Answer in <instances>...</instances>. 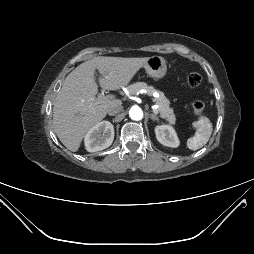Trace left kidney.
<instances>
[{"label": "left kidney", "instance_id": "left-kidney-1", "mask_svg": "<svg viewBox=\"0 0 254 254\" xmlns=\"http://www.w3.org/2000/svg\"><path fill=\"white\" fill-rule=\"evenodd\" d=\"M157 140L164 146L176 148L179 146V139L174 128L170 125H160L155 128Z\"/></svg>", "mask_w": 254, "mask_h": 254}]
</instances>
